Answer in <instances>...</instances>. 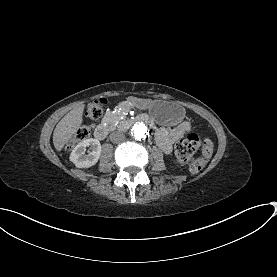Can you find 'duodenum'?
I'll use <instances>...</instances> for the list:
<instances>
[{
	"instance_id": "410a0bca",
	"label": "duodenum",
	"mask_w": 277,
	"mask_h": 277,
	"mask_svg": "<svg viewBox=\"0 0 277 277\" xmlns=\"http://www.w3.org/2000/svg\"><path fill=\"white\" fill-rule=\"evenodd\" d=\"M145 122L148 125H150L152 128H155L153 120L147 116V115H140V116H135V117H129L123 120L120 125L119 129L120 130H126L129 127H131L134 123L136 122ZM109 133V128L106 125H99L96 130H95V137L99 140L104 139Z\"/></svg>"
}]
</instances>
